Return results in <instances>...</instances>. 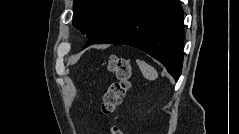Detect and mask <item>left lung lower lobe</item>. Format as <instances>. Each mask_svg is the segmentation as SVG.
Returning a JSON list of instances; mask_svg holds the SVG:
<instances>
[{
    "mask_svg": "<svg viewBox=\"0 0 239 134\" xmlns=\"http://www.w3.org/2000/svg\"><path fill=\"white\" fill-rule=\"evenodd\" d=\"M183 15L179 0H123L84 48L95 43L138 48L160 61L177 81L183 63Z\"/></svg>",
    "mask_w": 239,
    "mask_h": 134,
    "instance_id": "left-lung-lower-lobe-1",
    "label": "left lung lower lobe"
}]
</instances>
